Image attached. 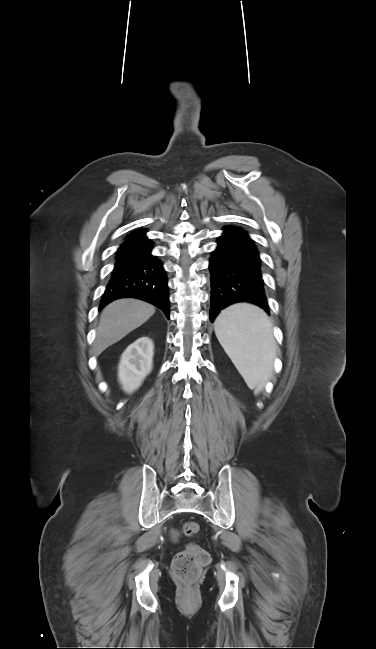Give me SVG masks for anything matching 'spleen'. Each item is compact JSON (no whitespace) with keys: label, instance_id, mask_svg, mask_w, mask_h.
<instances>
[{"label":"spleen","instance_id":"obj_1","mask_svg":"<svg viewBox=\"0 0 376 649\" xmlns=\"http://www.w3.org/2000/svg\"><path fill=\"white\" fill-rule=\"evenodd\" d=\"M215 334L247 386L259 393L273 371L276 344L272 323L259 307L236 303L221 311Z\"/></svg>","mask_w":376,"mask_h":649}]
</instances>
